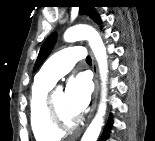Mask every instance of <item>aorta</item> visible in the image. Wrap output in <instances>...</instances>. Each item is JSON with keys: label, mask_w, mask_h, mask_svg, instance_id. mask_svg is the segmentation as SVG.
<instances>
[{"label": "aorta", "mask_w": 155, "mask_h": 141, "mask_svg": "<svg viewBox=\"0 0 155 141\" xmlns=\"http://www.w3.org/2000/svg\"><path fill=\"white\" fill-rule=\"evenodd\" d=\"M64 40L66 42H75L79 40H87L94 56L97 60L100 76L102 80V99L98 107V112L91 124L85 131L81 141H97L101 128L104 122V115L106 111V81L108 73V64H107V54L104 43L99 35V33L88 25H76L70 27L64 33Z\"/></svg>", "instance_id": "762f6f07"}]
</instances>
